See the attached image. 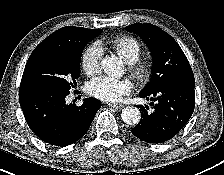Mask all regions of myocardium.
I'll return each instance as SVG.
<instances>
[{"label":"myocardium","mask_w":224,"mask_h":175,"mask_svg":"<svg viewBox=\"0 0 224 175\" xmlns=\"http://www.w3.org/2000/svg\"><path fill=\"white\" fill-rule=\"evenodd\" d=\"M129 72L137 82L146 83L152 74V64L147 60H137L131 64Z\"/></svg>","instance_id":"f54148a6"}]
</instances>
